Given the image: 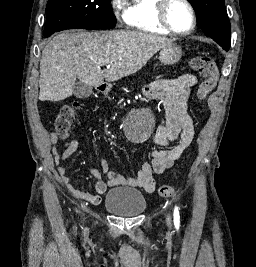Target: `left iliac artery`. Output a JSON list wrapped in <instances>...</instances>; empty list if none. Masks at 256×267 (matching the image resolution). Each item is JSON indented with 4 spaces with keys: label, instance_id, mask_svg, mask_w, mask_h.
<instances>
[{
    "label": "left iliac artery",
    "instance_id": "left-iliac-artery-1",
    "mask_svg": "<svg viewBox=\"0 0 256 267\" xmlns=\"http://www.w3.org/2000/svg\"><path fill=\"white\" fill-rule=\"evenodd\" d=\"M179 223H180L179 210H178V207H175V209H174V225L179 226Z\"/></svg>",
    "mask_w": 256,
    "mask_h": 267
}]
</instances>
